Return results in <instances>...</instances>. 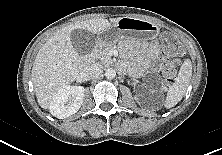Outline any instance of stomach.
<instances>
[{
	"label": "stomach",
	"mask_w": 222,
	"mask_h": 155,
	"mask_svg": "<svg viewBox=\"0 0 222 155\" xmlns=\"http://www.w3.org/2000/svg\"><path fill=\"white\" fill-rule=\"evenodd\" d=\"M159 27L150 21L124 17L108 29L100 32L97 39L100 46H113L118 41L140 44L155 39Z\"/></svg>",
	"instance_id": "stomach-1"
}]
</instances>
